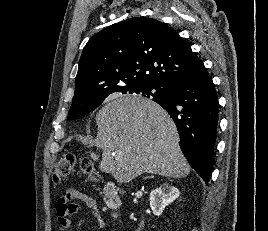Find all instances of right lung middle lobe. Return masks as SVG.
<instances>
[{"label":"right lung middle lobe","instance_id":"obj_1","mask_svg":"<svg viewBox=\"0 0 268 231\" xmlns=\"http://www.w3.org/2000/svg\"><path fill=\"white\" fill-rule=\"evenodd\" d=\"M119 92L130 93V94L142 93L144 97H152L153 99L163 97L165 94L164 88L160 85L155 84H144L139 86L126 87L120 90ZM104 99H101L88 105L72 103L68 114V119L73 120L75 118L88 114L89 112L96 109L104 101Z\"/></svg>","mask_w":268,"mask_h":231}]
</instances>
